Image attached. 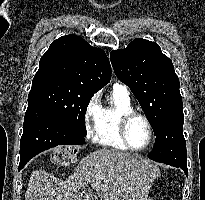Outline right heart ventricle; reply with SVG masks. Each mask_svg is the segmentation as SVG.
<instances>
[{"label": "right heart ventricle", "instance_id": "e07e8e85", "mask_svg": "<svg viewBox=\"0 0 205 200\" xmlns=\"http://www.w3.org/2000/svg\"><path fill=\"white\" fill-rule=\"evenodd\" d=\"M134 111L129 94L113 89L109 101L101 107L95 141L105 147L128 150L119 133L121 117Z\"/></svg>", "mask_w": 205, "mask_h": 200}]
</instances>
